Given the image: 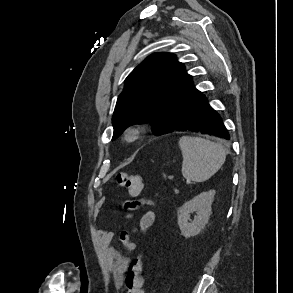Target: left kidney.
Returning <instances> with one entry per match:
<instances>
[{"label": "left kidney", "instance_id": "obj_1", "mask_svg": "<svg viewBox=\"0 0 293 293\" xmlns=\"http://www.w3.org/2000/svg\"><path fill=\"white\" fill-rule=\"evenodd\" d=\"M215 190L202 192L192 200L185 202L178 211L177 222L181 235L190 238L198 235L208 223L212 214L211 206L213 203ZM196 212V216L190 222V214Z\"/></svg>", "mask_w": 293, "mask_h": 293}]
</instances>
